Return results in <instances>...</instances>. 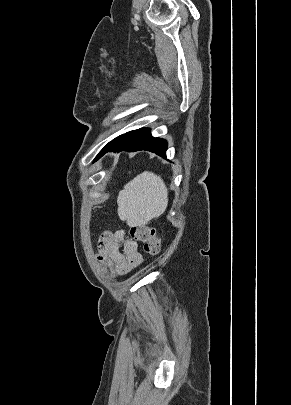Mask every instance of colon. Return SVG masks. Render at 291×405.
I'll list each match as a JSON object with an SVG mask.
<instances>
[{
  "label": "colon",
  "instance_id": "obj_1",
  "mask_svg": "<svg viewBox=\"0 0 291 405\" xmlns=\"http://www.w3.org/2000/svg\"><path fill=\"white\" fill-rule=\"evenodd\" d=\"M131 237L141 242L146 254L155 256L161 250V240L154 227L148 225H136L130 229Z\"/></svg>",
  "mask_w": 291,
  "mask_h": 405
}]
</instances>
